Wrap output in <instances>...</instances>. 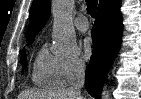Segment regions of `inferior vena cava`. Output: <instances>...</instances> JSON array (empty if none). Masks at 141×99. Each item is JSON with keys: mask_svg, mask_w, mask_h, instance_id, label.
<instances>
[{"mask_svg": "<svg viewBox=\"0 0 141 99\" xmlns=\"http://www.w3.org/2000/svg\"><path fill=\"white\" fill-rule=\"evenodd\" d=\"M76 82L74 84L75 90H81L85 84V68L83 64H77L75 68Z\"/></svg>", "mask_w": 141, "mask_h": 99, "instance_id": "inferior-vena-cava-1", "label": "inferior vena cava"}]
</instances>
